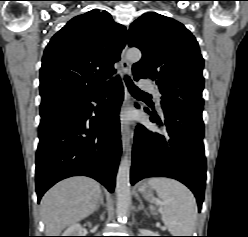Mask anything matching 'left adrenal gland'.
<instances>
[{
    "mask_svg": "<svg viewBox=\"0 0 248 237\" xmlns=\"http://www.w3.org/2000/svg\"><path fill=\"white\" fill-rule=\"evenodd\" d=\"M138 201H139V206L137 208V211L144 210V206H143L141 198H138Z\"/></svg>",
    "mask_w": 248,
    "mask_h": 237,
    "instance_id": "obj_1",
    "label": "left adrenal gland"
}]
</instances>
